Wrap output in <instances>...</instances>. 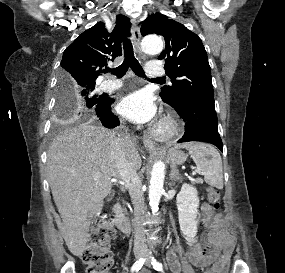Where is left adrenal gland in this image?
Returning a JSON list of instances; mask_svg holds the SVG:
<instances>
[{"label": "left adrenal gland", "instance_id": "left-adrenal-gland-1", "mask_svg": "<svg viewBox=\"0 0 285 273\" xmlns=\"http://www.w3.org/2000/svg\"><path fill=\"white\" fill-rule=\"evenodd\" d=\"M169 178L172 181V183L171 182L169 183L170 187L173 185V181L180 180L179 170L177 169V167L175 165L171 166V173L169 175Z\"/></svg>", "mask_w": 285, "mask_h": 273}]
</instances>
